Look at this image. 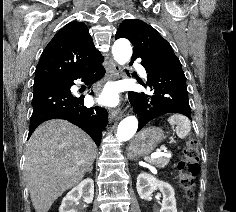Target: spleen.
<instances>
[{"instance_id": "1", "label": "spleen", "mask_w": 236, "mask_h": 212, "mask_svg": "<svg viewBox=\"0 0 236 212\" xmlns=\"http://www.w3.org/2000/svg\"><path fill=\"white\" fill-rule=\"evenodd\" d=\"M168 122L175 126L176 134L181 139L185 138L191 131L190 120L184 115L174 114L169 117ZM145 160L151 161L149 157H146Z\"/></svg>"}]
</instances>
